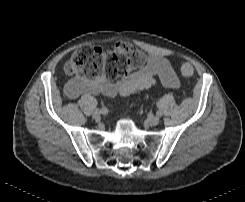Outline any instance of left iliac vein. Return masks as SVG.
<instances>
[{"instance_id": "obj_1", "label": "left iliac vein", "mask_w": 245, "mask_h": 202, "mask_svg": "<svg viewBox=\"0 0 245 202\" xmlns=\"http://www.w3.org/2000/svg\"><path fill=\"white\" fill-rule=\"evenodd\" d=\"M159 121H160V119L158 116H152V117L147 119L148 124L153 125V126L157 125L159 123Z\"/></svg>"}]
</instances>
